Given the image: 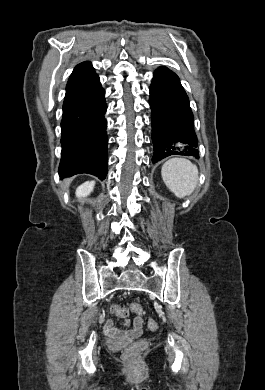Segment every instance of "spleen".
<instances>
[{"instance_id":"1","label":"spleen","mask_w":265,"mask_h":390,"mask_svg":"<svg viewBox=\"0 0 265 390\" xmlns=\"http://www.w3.org/2000/svg\"><path fill=\"white\" fill-rule=\"evenodd\" d=\"M161 174L165 185L180 199L191 194L198 182L197 166L185 158L168 160Z\"/></svg>"}]
</instances>
